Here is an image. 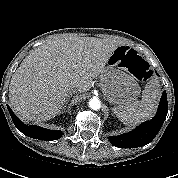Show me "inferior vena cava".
Returning a JSON list of instances; mask_svg holds the SVG:
<instances>
[{
    "instance_id": "obj_1",
    "label": "inferior vena cava",
    "mask_w": 178,
    "mask_h": 178,
    "mask_svg": "<svg viewBox=\"0 0 178 178\" xmlns=\"http://www.w3.org/2000/svg\"><path fill=\"white\" fill-rule=\"evenodd\" d=\"M76 92H77V89H76V88L72 90V93H76Z\"/></svg>"
}]
</instances>
